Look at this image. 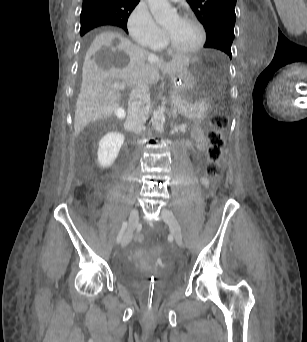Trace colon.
I'll list each match as a JSON object with an SVG mask.
<instances>
[{"instance_id":"1","label":"colon","mask_w":307,"mask_h":342,"mask_svg":"<svg viewBox=\"0 0 307 342\" xmlns=\"http://www.w3.org/2000/svg\"><path fill=\"white\" fill-rule=\"evenodd\" d=\"M211 124L212 129L208 134L209 147L207 149L208 163L206 166V174L211 178H219L222 175L220 160L224 145L223 135L228 128V118L221 110L217 109L211 116ZM149 251L154 256L156 253H164L165 248L164 246H151Z\"/></svg>"}]
</instances>
